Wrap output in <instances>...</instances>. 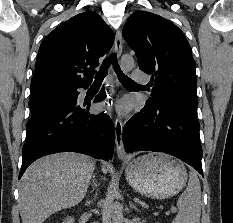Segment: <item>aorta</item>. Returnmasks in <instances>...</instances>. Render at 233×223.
I'll list each match as a JSON object with an SVG mask.
<instances>
[{"label": "aorta", "instance_id": "aorta-1", "mask_svg": "<svg viewBox=\"0 0 233 223\" xmlns=\"http://www.w3.org/2000/svg\"><path fill=\"white\" fill-rule=\"evenodd\" d=\"M134 68V60L132 56H123L121 58V70L124 72V74H127V72H130V70H133ZM118 213V207L117 203H113L112 205V219L114 215H117Z\"/></svg>", "mask_w": 233, "mask_h": 223}]
</instances>
